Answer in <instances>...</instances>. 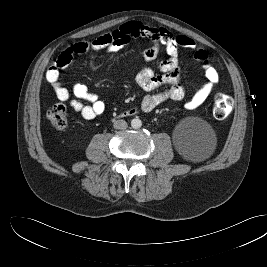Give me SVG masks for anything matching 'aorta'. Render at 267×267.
<instances>
[{"label": "aorta", "instance_id": "obj_1", "mask_svg": "<svg viewBox=\"0 0 267 267\" xmlns=\"http://www.w3.org/2000/svg\"><path fill=\"white\" fill-rule=\"evenodd\" d=\"M142 126V121L139 118H134L131 121V127L134 129H139Z\"/></svg>", "mask_w": 267, "mask_h": 267}]
</instances>
